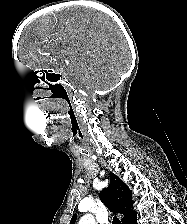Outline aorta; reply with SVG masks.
<instances>
[{
    "instance_id": "762f6f07",
    "label": "aorta",
    "mask_w": 187,
    "mask_h": 224,
    "mask_svg": "<svg viewBox=\"0 0 187 224\" xmlns=\"http://www.w3.org/2000/svg\"><path fill=\"white\" fill-rule=\"evenodd\" d=\"M78 224H96V221L91 214H86L83 217H81Z\"/></svg>"
}]
</instances>
